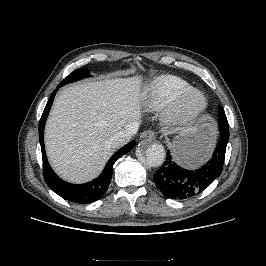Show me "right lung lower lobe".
I'll use <instances>...</instances> for the list:
<instances>
[{
  "label": "right lung lower lobe",
  "instance_id": "right-lung-lower-lobe-1",
  "mask_svg": "<svg viewBox=\"0 0 266 266\" xmlns=\"http://www.w3.org/2000/svg\"><path fill=\"white\" fill-rule=\"evenodd\" d=\"M59 87L61 86L58 85L57 89L54 90L53 93L51 94L50 99L43 111V114L41 116L40 123H39V140H40L41 151H42L44 179L47 185L62 198L75 202V203H80V204L92 203L98 200L108 188L111 178H112L113 164L115 163V161L120 156L129 152L136 145V142L131 141L130 143L122 147L120 150H118L109 159L102 174L97 179L91 182L85 183V184H80V185L70 184V183H67L61 180L51 169L47 161L45 148H44V136H43L45 122H46L49 110L51 108V105L53 103L55 94Z\"/></svg>",
  "mask_w": 266,
  "mask_h": 266
}]
</instances>
